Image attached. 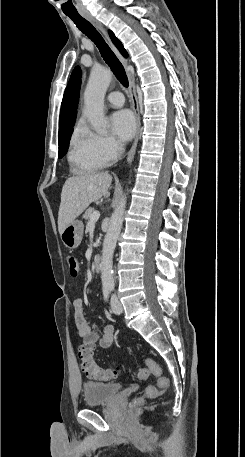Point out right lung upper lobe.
I'll use <instances>...</instances> for the list:
<instances>
[{"label":"right lung upper lobe","mask_w":245,"mask_h":457,"mask_svg":"<svg viewBox=\"0 0 245 457\" xmlns=\"http://www.w3.org/2000/svg\"><path fill=\"white\" fill-rule=\"evenodd\" d=\"M109 35L113 43L120 50V52L125 57H127V52L124 50L122 43L114 36V34L111 31H109ZM80 83L81 70L80 67L77 66L72 72V75L70 77L69 83L63 96L59 118V128L75 123L77 107L79 102Z\"/></svg>","instance_id":"cb5924a9"}]
</instances>
